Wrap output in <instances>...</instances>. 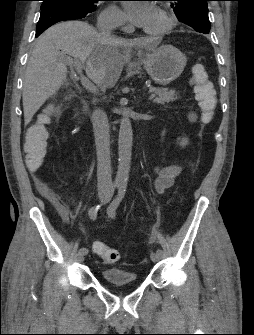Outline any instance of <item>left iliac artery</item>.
Wrapping results in <instances>:
<instances>
[{
    "label": "left iliac artery",
    "mask_w": 254,
    "mask_h": 335,
    "mask_svg": "<svg viewBox=\"0 0 254 335\" xmlns=\"http://www.w3.org/2000/svg\"><path fill=\"white\" fill-rule=\"evenodd\" d=\"M126 186H127L126 183L119 184L118 194H117L116 198L112 201V203L109 205V207L107 208V213L111 218H115L117 208L119 207L120 203L122 202V200L125 197ZM156 253L161 257V256L164 255V250L161 249V248H156Z\"/></svg>",
    "instance_id": "obj_1"
}]
</instances>
